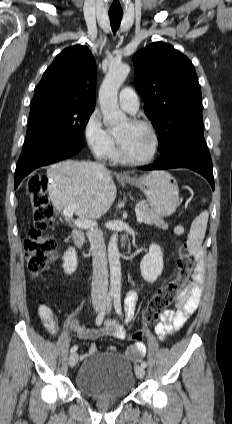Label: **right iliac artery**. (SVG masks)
Instances as JSON below:
<instances>
[{
	"instance_id": "82829eb1",
	"label": "right iliac artery",
	"mask_w": 232,
	"mask_h": 424,
	"mask_svg": "<svg viewBox=\"0 0 232 424\" xmlns=\"http://www.w3.org/2000/svg\"><path fill=\"white\" fill-rule=\"evenodd\" d=\"M112 297H113V294L112 293H109L108 296H107V298H106V301H105V303L103 305L102 310L97 315V317H96V325L97 326H100L102 324V322L104 320V317H105L106 309L109 307V304L111 302ZM77 349H78V347L75 345V346L71 347L70 352L73 353Z\"/></svg>"
}]
</instances>
